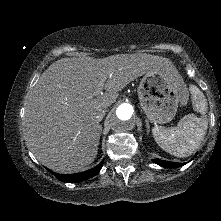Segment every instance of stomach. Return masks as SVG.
I'll return each instance as SVG.
<instances>
[{"instance_id":"0dacf381","label":"stomach","mask_w":221,"mask_h":221,"mask_svg":"<svg viewBox=\"0 0 221 221\" xmlns=\"http://www.w3.org/2000/svg\"><path fill=\"white\" fill-rule=\"evenodd\" d=\"M141 108L155 123H168L176 115L179 105L188 101V90L178 73L171 70H158L143 76L138 87Z\"/></svg>"}]
</instances>
